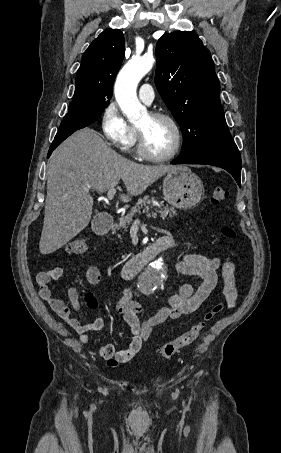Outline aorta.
Returning <instances> with one entry per match:
<instances>
[{
	"mask_svg": "<svg viewBox=\"0 0 281 453\" xmlns=\"http://www.w3.org/2000/svg\"><path fill=\"white\" fill-rule=\"evenodd\" d=\"M154 61L153 56L132 58L117 76L115 98L131 123L140 122L147 115V109L138 101L136 90L139 81L152 69ZM162 265V259H158L139 275L137 288L140 293L150 295L163 284V276L158 274Z\"/></svg>",
	"mask_w": 281,
	"mask_h": 453,
	"instance_id": "aorta-1",
	"label": "aorta"
}]
</instances>
